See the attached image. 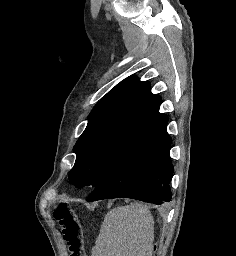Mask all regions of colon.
<instances>
[{"mask_svg": "<svg viewBox=\"0 0 236 256\" xmlns=\"http://www.w3.org/2000/svg\"><path fill=\"white\" fill-rule=\"evenodd\" d=\"M52 215L62 229L70 256H87L84 249L83 230L75 206L59 201L52 209Z\"/></svg>", "mask_w": 236, "mask_h": 256, "instance_id": "5ec220e1", "label": "colon"}]
</instances>
